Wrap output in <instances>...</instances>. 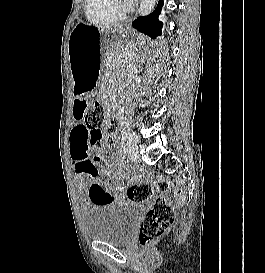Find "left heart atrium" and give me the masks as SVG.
I'll list each match as a JSON object with an SVG mask.
<instances>
[{"label":"left heart atrium","mask_w":265,"mask_h":273,"mask_svg":"<svg viewBox=\"0 0 265 273\" xmlns=\"http://www.w3.org/2000/svg\"><path fill=\"white\" fill-rule=\"evenodd\" d=\"M128 2H132V1H135V0H127Z\"/></svg>","instance_id":"39dd6f15"}]
</instances>
